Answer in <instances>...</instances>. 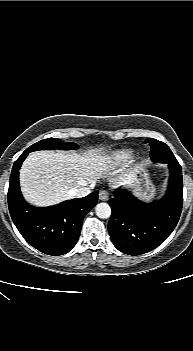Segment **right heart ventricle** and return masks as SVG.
<instances>
[{"label":"right heart ventricle","mask_w":193,"mask_h":351,"mask_svg":"<svg viewBox=\"0 0 193 351\" xmlns=\"http://www.w3.org/2000/svg\"><path fill=\"white\" fill-rule=\"evenodd\" d=\"M112 159L117 162H127L132 159L131 152L129 150L117 151L112 155Z\"/></svg>","instance_id":"obj_1"}]
</instances>
